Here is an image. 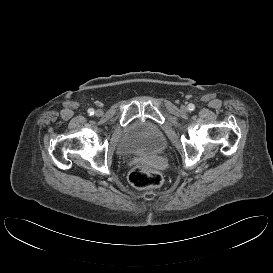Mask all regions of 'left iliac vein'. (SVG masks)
<instances>
[{"mask_svg":"<svg viewBox=\"0 0 273 273\" xmlns=\"http://www.w3.org/2000/svg\"><path fill=\"white\" fill-rule=\"evenodd\" d=\"M181 110H182V111H186V110H187V107H186V106H182V107H181Z\"/></svg>","mask_w":273,"mask_h":273,"instance_id":"1","label":"left iliac vein"}]
</instances>
